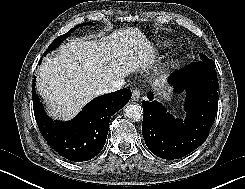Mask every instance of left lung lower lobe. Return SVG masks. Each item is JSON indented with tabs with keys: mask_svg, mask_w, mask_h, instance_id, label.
Masks as SVG:
<instances>
[{
	"mask_svg": "<svg viewBox=\"0 0 245 189\" xmlns=\"http://www.w3.org/2000/svg\"><path fill=\"white\" fill-rule=\"evenodd\" d=\"M176 92L187 91L185 120L175 119L153 100L142 101V134L149 150L163 159H179L198 148L208 137L218 108V78L215 67L205 61L191 63L168 80Z\"/></svg>",
	"mask_w": 245,
	"mask_h": 189,
	"instance_id": "obj_1",
	"label": "left lung lower lobe"
}]
</instances>
